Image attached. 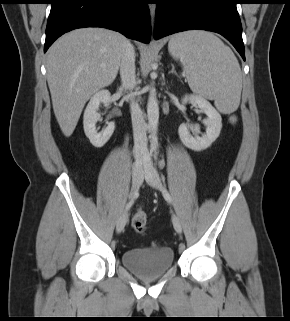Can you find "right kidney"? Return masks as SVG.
<instances>
[{
	"label": "right kidney",
	"instance_id": "ca27d5eb",
	"mask_svg": "<svg viewBox=\"0 0 290 321\" xmlns=\"http://www.w3.org/2000/svg\"><path fill=\"white\" fill-rule=\"evenodd\" d=\"M110 99V92L108 90H101L91 97L84 112L83 125L85 135L90 140L91 144L97 148L106 144L115 129L114 122L108 123V126L100 132L96 129V123L100 118V115L97 112L98 108L101 103L108 105Z\"/></svg>",
	"mask_w": 290,
	"mask_h": 321
}]
</instances>
